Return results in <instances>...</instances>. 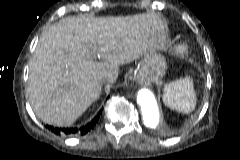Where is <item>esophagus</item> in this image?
Returning <instances> with one entry per match:
<instances>
[{
	"label": "esophagus",
	"mask_w": 240,
	"mask_h": 160,
	"mask_svg": "<svg viewBox=\"0 0 240 160\" xmlns=\"http://www.w3.org/2000/svg\"><path fill=\"white\" fill-rule=\"evenodd\" d=\"M139 83L142 84V85H143V84H144V85H149V84H150V81L147 80L146 78L142 77V78L139 79Z\"/></svg>",
	"instance_id": "esophagus-1"
}]
</instances>
